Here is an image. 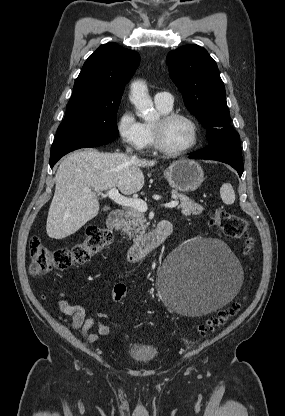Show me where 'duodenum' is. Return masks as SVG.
Returning a JSON list of instances; mask_svg holds the SVG:
<instances>
[{
  "label": "duodenum",
  "instance_id": "obj_1",
  "mask_svg": "<svg viewBox=\"0 0 285 416\" xmlns=\"http://www.w3.org/2000/svg\"><path fill=\"white\" fill-rule=\"evenodd\" d=\"M124 213L120 209L114 210L107 221L108 230L116 233L119 230L120 223ZM173 233V227L168 220H161L157 225L139 241L133 243L127 250L126 258L130 264H135L146 254L160 248L170 238Z\"/></svg>",
  "mask_w": 285,
  "mask_h": 416
}]
</instances>
